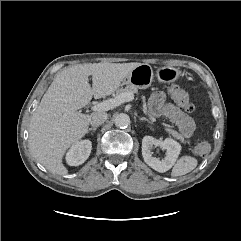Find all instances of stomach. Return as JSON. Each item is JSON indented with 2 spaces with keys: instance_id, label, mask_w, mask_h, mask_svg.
<instances>
[{
  "instance_id": "1",
  "label": "stomach",
  "mask_w": 241,
  "mask_h": 241,
  "mask_svg": "<svg viewBox=\"0 0 241 241\" xmlns=\"http://www.w3.org/2000/svg\"><path fill=\"white\" fill-rule=\"evenodd\" d=\"M157 79L162 83H172L182 76V71L179 68L172 66H163L157 69ZM154 79V71L149 64H140L135 67L129 75H127L123 84L134 85L140 89L148 88Z\"/></svg>"
}]
</instances>
